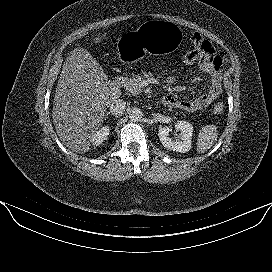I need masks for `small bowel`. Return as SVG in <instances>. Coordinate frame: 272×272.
<instances>
[{
  "label": "small bowel",
  "mask_w": 272,
  "mask_h": 272,
  "mask_svg": "<svg viewBox=\"0 0 272 272\" xmlns=\"http://www.w3.org/2000/svg\"><path fill=\"white\" fill-rule=\"evenodd\" d=\"M191 41L195 49L200 52L196 68L210 77V86L203 95L193 99H178L171 95L166 96V105L186 112H195L208 107L217 99L222 90L224 55L199 34H194Z\"/></svg>",
  "instance_id": "obj_1"
}]
</instances>
